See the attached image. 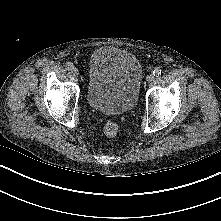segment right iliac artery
<instances>
[{
	"instance_id": "1",
	"label": "right iliac artery",
	"mask_w": 221,
	"mask_h": 221,
	"mask_svg": "<svg viewBox=\"0 0 221 221\" xmlns=\"http://www.w3.org/2000/svg\"><path fill=\"white\" fill-rule=\"evenodd\" d=\"M65 68L67 70H71L73 68V64L71 62H67V63H65Z\"/></svg>"
}]
</instances>
